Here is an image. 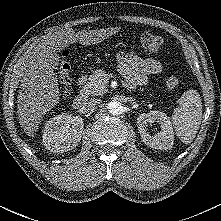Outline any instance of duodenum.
Masks as SVG:
<instances>
[{"label":"duodenum","mask_w":221,"mask_h":221,"mask_svg":"<svg viewBox=\"0 0 221 221\" xmlns=\"http://www.w3.org/2000/svg\"><path fill=\"white\" fill-rule=\"evenodd\" d=\"M86 82V77L85 76H80L79 80H78V86L80 89V93L78 94V96L76 97L74 103H73V108L75 110H81L86 102V96L85 94L82 92V89L85 85Z\"/></svg>","instance_id":"obj_1"}]
</instances>
